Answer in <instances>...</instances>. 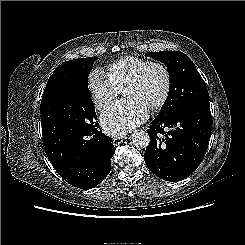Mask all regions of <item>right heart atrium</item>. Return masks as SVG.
Instances as JSON below:
<instances>
[{"mask_svg":"<svg viewBox=\"0 0 245 245\" xmlns=\"http://www.w3.org/2000/svg\"><path fill=\"white\" fill-rule=\"evenodd\" d=\"M88 90L97 110L105 109L119 94V89L101 70H93L89 74Z\"/></svg>","mask_w":245,"mask_h":245,"instance_id":"1","label":"right heart atrium"}]
</instances>
